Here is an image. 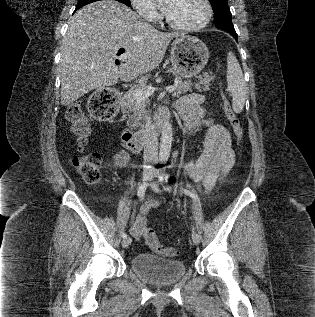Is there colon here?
Returning <instances> with one entry per match:
<instances>
[{"mask_svg": "<svg viewBox=\"0 0 315 317\" xmlns=\"http://www.w3.org/2000/svg\"><path fill=\"white\" fill-rule=\"evenodd\" d=\"M223 99L224 112L233 128L238 142H241L243 130L240 121L234 113L230 102L225 97ZM88 109L94 119L99 121L109 120L117 111L116 92L113 89H102L95 92L89 100ZM66 120L70 124L73 134L75 135L78 148L82 149L91 133V126L84 111L79 105L74 104L68 108ZM74 166L88 184L97 185L100 182L101 157L98 153H90L75 158ZM144 239L147 245L160 255L172 257L178 254L177 249L160 243L155 231L151 228L145 229Z\"/></svg>", "mask_w": 315, "mask_h": 317, "instance_id": "5ec220e1", "label": "colon"}]
</instances>
